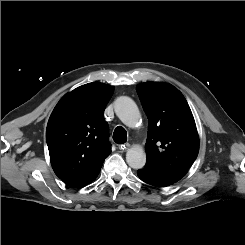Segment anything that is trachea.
Wrapping results in <instances>:
<instances>
[{
  "label": "trachea",
  "instance_id": "3493384b",
  "mask_svg": "<svg viewBox=\"0 0 245 245\" xmlns=\"http://www.w3.org/2000/svg\"><path fill=\"white\" fill-rule=\"evenodd\" d=\"M113 140L117 144L125 143L127 141V132H126V130L123 127H121V126L116 127V129L114 130V133H113Z\"/></svg>",
  "mask_w": 245,
  "mask_h": 245
}]
</instances>
